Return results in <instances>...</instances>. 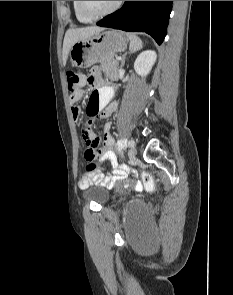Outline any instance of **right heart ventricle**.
Segmentation results:
<instances>
[{
	"instance_id": "e07e8e85",
	"label": "right heart ventricle",
	"mask_w": 233,
	"mask_h": 295,
	"mask_svg": "<svg viewBox=\"0 0 233 295\" xmlns=\"http://www.w3.org/2000/svg\"><path fill=\"white\" fill-rule=\"evenodd\" d=\"M72 8H73V11H74L75 17L77 18V20H78L79 22H82V23H88V22L91 21L90 19L85 18L84 16H82V15L80 14V12L78 11V8H77V1H72Z\"/></svg>"
}]
</instances>
